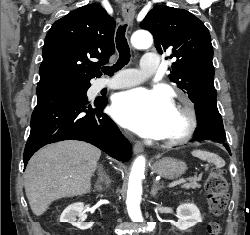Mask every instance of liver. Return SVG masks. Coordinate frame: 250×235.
Listing matches in <instances>:
<instances>
[{
	"label": "liver",
	"mask_w": 250,
	"mask_h": 235,
	"mask_svg": "<svg viewBox=\"0 0 250 235\" xmlns=\"http://www.w3.org/2000/svg\"><path fill=\"white\" fill-rule=\"evenodd\" d=\"M101 151L81 141H63L39 150L29 161L24 187L32 212L41 216L60 198L83 195Z\"/></svg>",
	"instance_id": "6515ba94"
}]
</instances>
